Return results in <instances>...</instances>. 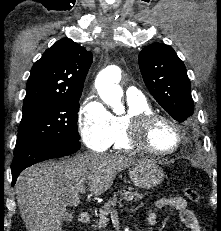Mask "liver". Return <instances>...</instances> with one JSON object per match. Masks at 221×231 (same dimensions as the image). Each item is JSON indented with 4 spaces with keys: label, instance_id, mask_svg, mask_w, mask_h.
Listing matches in <instances>:
<instances>
[{
    "label": "liver",
    "instance_id": "obj_1",
    "mask_svg": "<svg viewBox=\"0 0 221 231\" xmlns=\"http://www.w3.org/2000/svg\"><path fill=\"white\" fill-rule=\"evenodd\" d=\"M138 161L121 154L85 153L27 168L15 185L27 231H62L66 207L80 204L81 187L87 183L91 194L102 195L118 172Z\"/></svg>",
    "mask_w": 221,
    "mask_h": 231
}]
</instances>
